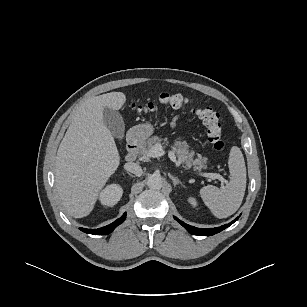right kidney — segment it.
<instances>
[{
  "instance_id": "ca27d5eb",
  "label": "right kidney",
  "mask_w": 307,
  "mask_h": 307,
  "mask_svg": "<svg viewBox=\"0 0 307 307\" xmlns=\"http://www.w3.org/2000/svg\"><path fill=\"white\" fill-rule=\"evenodd\" d=\"M123 194V188L119 184L107 185L99 194L102 205L112 207L118 203Z\"/></svg>"
}]
</instances>
